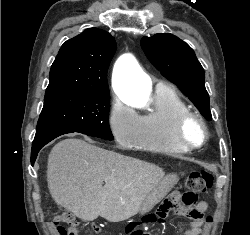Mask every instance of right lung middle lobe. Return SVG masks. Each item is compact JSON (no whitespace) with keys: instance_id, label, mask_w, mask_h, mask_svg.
Wrapping results in <instances>:
<instances>
[{"instance_id":"dd1d6c3e","label":"right lung middle lobe","mask_w":250,"mask_h":235,"mask_svg":"<svg viewBox=\"0 0 250 235\" xmlns=\"http://www.w3.org/2000/svg\"><path fill=\"white\" fill-rule=\"evenodd\" d=\"M37 129L63 127L89 136L113 140L109 128V90L69 91L44 98Z\"/></svg>"}]
</instances>
